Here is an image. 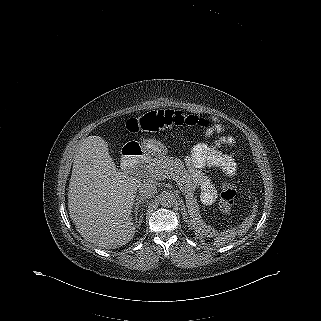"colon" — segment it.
I'll return each mask as SVG.
<instances>
[{
	"label": "colon",
	"instance_id": "colon-1",
	"mask_svg": "<svg viewBox=\"0 0 321 321\" xmlns=\"http://www.w3.org/2000/svg\"><path fill=\"white\" fill-rule=\"evenodd\" d=\"M182 125H200L207 127L209 126V121L205 118L193 114H185L180 111L159 110L145 114L142 117L128 120L127 129L132 133L140 131L158 132L163 129ZM235 196V185H226L223 187L220 196V208L224 213H229L232 210Z\"/></svg>",
	"mask_w": 321,
	"mask_h": 321
}]
</instances>
